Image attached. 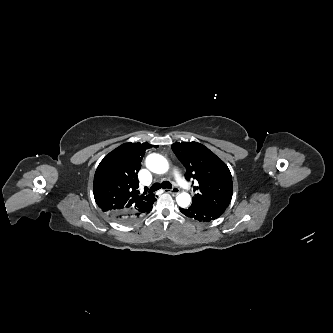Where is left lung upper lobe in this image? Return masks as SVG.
Segmentation results:
<instances>
[{
	"instance_id": "1",
	"label": "left lung upper lobe",
	"mask_w": 333,
	"mask_h": 333,
	"mask_svg": "<svg viewBox=\"0 0 333 333\" xmlns=\"http://www.w3.org/2000/svg\"><path fill=\"white\" fill-rule=\"evenodd\" d=\"M172 150L186 167L185 178L196 179L193 203L226 209L232 198V176L227 165L197 142L174 143Z\"/></svg>"
}]
</instances>
